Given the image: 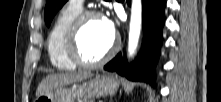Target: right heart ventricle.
I'll return each instance as SVG.
<instances>
[{
  "label": "right heart ventricle",
  "instance_id": "right-heart-ventricle-1",
  "mask_svg": "<svg viewBox=\"0 0 221 102\" xmlns=\"http://www.w3.org/2000/svg\"><path fill=\"white\" fill-rule=\"evenodd\" d=\"M82 11V7L68 3L60 10L48 33V55L52 65L59 70H72L76 67L67 55L66 40L72 23Z\"/></svg>",
  "mask_w": 221,
  "mask_h": 102
}]
</instances>
